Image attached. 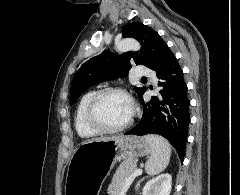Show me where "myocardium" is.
<instances>
[{"label":"myocardium","mask_w":240,"mask_h":195,"mask_svg":"<svg viewBox=\"0 0 240 195\" xmlns=\"http://www.w3.org/2000/svg\"><path fill=\"white\" fill-rule=\"evenodd\" d=\"M108 95H122L130 101L132 108L131 117L125 124L114 127L107 125L100 119L98 114V108L102 100ZM86 119L88 124L99 133H120L126 131L133 125L135 119V108L130 95L125 90L120 88H105L98 91L89 101L86 109Z\"/></svg>","instance_id":"f54148a6"}]
</instances>
